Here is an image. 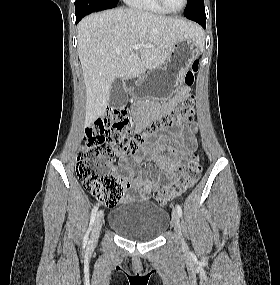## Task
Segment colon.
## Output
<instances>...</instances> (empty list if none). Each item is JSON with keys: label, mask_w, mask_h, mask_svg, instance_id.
<instances>
[{"label": "colon", "mask_w": 280, "mask_h": 285, "mask_svg": "<svg viewBox=\"0 0 280 285\" xmlns=\"http://www.w3.org/2000/svg\"><path fill=\"white\" fill-rule=\"evenodd\" d=\"M199 63L195 61L185 76L192 86ZM195 114V100L191 96L181 101L173 110L157 118L143 134L131 135L130 119L124 109H109L86 130L85 140L76 157V173L83 187L98 201L117 205L122 197L123 179L112 170V162L119 155H132L155 131L181 127ZM201 160L192 156L180 174L153 194V199L164 204L184 193L199 179Z\"/></svg>", "instance_id": "1"}]
</instances>
